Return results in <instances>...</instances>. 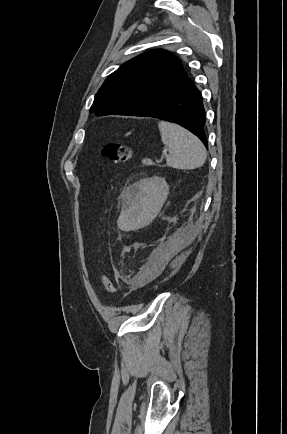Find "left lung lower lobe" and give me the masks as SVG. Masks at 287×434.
Segmentation results:
<instances>
[{
	"label": "left lung lower lobe",
	"mask_w": 287,
	"mask_h": 434,
	"mask_svg": "<svg viewBox=\"0 0 287 434\" xmlns=\"http://www.w3.org/2000/svg\"><path fill=\"white\" fill-rule=\"evenodd\" d=\"M134 116L154 117L179 124L199 137L205 147H208L202 96L188 77L157 103L141 109Z\"/></svg>",
	"instance_id": "1"
}]
</instances>
